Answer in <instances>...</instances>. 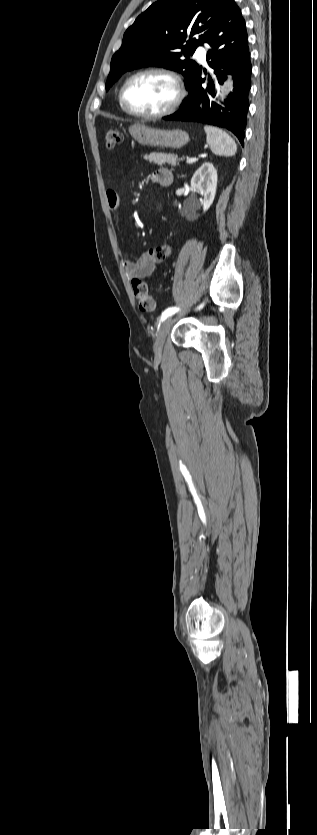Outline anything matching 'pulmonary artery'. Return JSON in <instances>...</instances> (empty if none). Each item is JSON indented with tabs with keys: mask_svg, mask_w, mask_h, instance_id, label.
Instances as JSON below:
<instances>
[{
	"mask_svg": "<svg viewBox=\"0 0 317 835\" xmlns=\"http://www.w3.org/2000/svg\"><path fill=\"white\" fill-rule=\"evenodd\" d=\"M194 55L201 63L206 62V49L204 46H198Z\"/></svg>",
	"mask_w": 317,
	"mask_h": 835,
	"instance_id": "e3ab8cb5",
	"label": "pulmonary artery"
}]
</instances>
